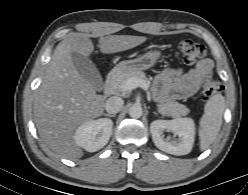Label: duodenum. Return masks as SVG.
<instances>
[{"label":"duodenum","mask_w":248,"mask_h":195,"mask_svg":"<svg viewBox=\"0 0 248 195\" xmlns=\"http://www.w3.org/2000/svg\"><path fill=\"white\" fill-rule=\"evenodd\" d=\"M118 76H119L118 70L112 71L108 74L106 81H105V85H104V94L106 96L112 95L114 84H115Z\"/></svg>","instance_id":"1"}]
</instances>
